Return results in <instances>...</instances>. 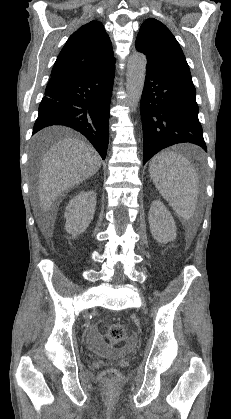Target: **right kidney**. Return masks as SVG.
Masks as SVG:
<instances>
[{"instance_id":"obj_1","label":"right kidney","mask_w":231,"mask_h":419,"mask_svg":"<svg viewBox=\"0 0 231 419\" xmlns=\"http://www.w3.org/2000/svg\"><path fill=\"white\" fill-rule=\"evenodd\" d=\"M95 208V191H81L71 199L65 209L64 217L65 230L72 235V238L86 231L93 220Z\"/></svg>"}]
</instances>
